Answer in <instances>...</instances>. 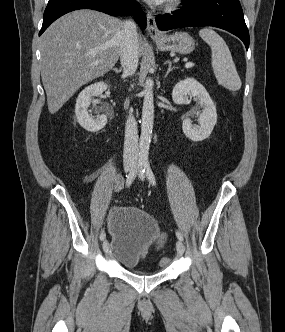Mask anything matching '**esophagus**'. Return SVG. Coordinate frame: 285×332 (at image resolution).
Segmentation results:
<instances>
[{
	"mask_svg": "<svg viewBox=\"0 0 285 332\" xmlns=\"http://www.w3.org/2000/svg\"><path fill=\"white\" fill-rule=\"evenodd\" d=\"M147 32L151 38L161 37V32L157 26L155 16L148 11L147 13Z\"/></svg>",
	"mask_w": 285,
	"mask_h": 332,
	"instance_id": "34e87169",
	"label": "esophagus"
}]
</instances>
